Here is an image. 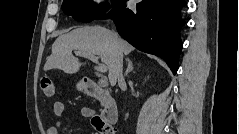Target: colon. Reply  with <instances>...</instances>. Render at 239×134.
<instances>
[{
    "label": "colon",
    "mask_w": 239,
    "mask_h": 134,
    "mask_svg": "<svg viewBox=\"0 0 239 134\" xmlns=\"http://www.w3.org/2000/svg\"><path fill=\"white\" fill-rule=\"evenodd\" d=\"M40 89L43 95L47 97H53L55 95L56 89L54 81L49 76H43L40 80ZM93 126L100 134H114V128L106 123L101 117L95 116L92 119Z\"/></svg>",
    "instance_id": "obj_1"
}]
</instances>
